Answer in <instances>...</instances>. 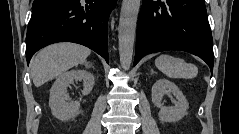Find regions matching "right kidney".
I'll return each mask as SVG.
<instances>
[{
  "label": "right kidney",
  "mask_w": 239,
  "mask_h": 134,
  "mask_svg": "<svg viewBox=\"0 0 239 134\" xmlns=\"http://www.w3.org/2000/svg\"><path fill=\"white\" fill-rule=\"evenodd\" d=\"M74 80H83V95H88L95 83L93 74L87 70H70L57 78L50 90L49 106L52 114L62 121L76 116L79 112L80 103L78 101L68 102L67 87Z\"/></svg>",
  "instance_id": "right-kidney-1"
}]
</instances>
